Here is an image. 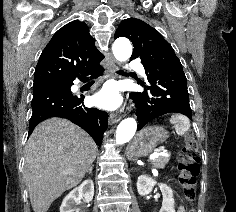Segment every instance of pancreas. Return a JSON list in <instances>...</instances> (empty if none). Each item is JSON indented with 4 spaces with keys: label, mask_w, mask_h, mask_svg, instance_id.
I'll return each mask as SVG.
<instances>
[{
    "label": "pancreas",
    "mask_w": 236,
    "mask_h": 212,
    "mask_svg": "<svg viewBox=\"0 0 236 212\" xmlns=\"http://www.w3.org/2000/svg\"><path fill=\"white\" fill-rule=\"evenodd\" d=\"M169 157L168 156H159L152 160V165L155 168H164L165 165L168 163Z\"/></svg>",
    "instance_id": "cf45deb5"
}]
</instances>
